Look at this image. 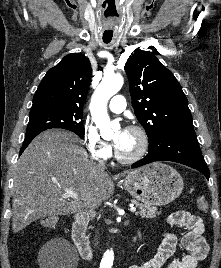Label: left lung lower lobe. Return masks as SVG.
Returning <instances> with one entry per match:
<instances>
[{"mask_svg":"<svg viewBox=\"0 0 221 268\" xmlns=\"http://www.w3.org/2000/svg\"><path fill=\"white\" fill-rule=\"evenodd\" d=\"M154 161L178 162L200 171L209 179V170L194 129L175 130L149 143L148 154L132 165L137 168Z\"/></svg>","mask_w":221,"mask_h":268,"instance_id":"0a47b994","label":"left lung lower lobe"}]
</instances>
